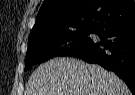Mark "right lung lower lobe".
Segmentation results:
<instances>
[{
  "label": "right lung lower lobe",
  "instance_id": "1",
  "mask_svg": "<svg viewBox=\"0 0 135 95\" xmlns=\"http://www.w3.org/2000/svg\"><path fill=\"white\" fill-rule=\"evenodd\" d=\"M94 34L101 41H92L73 57L115 72L135 95V15L108 20Z\"/></svg>",
  "mask_w": 135,
  "mask_h": 95
}]
</instances>
